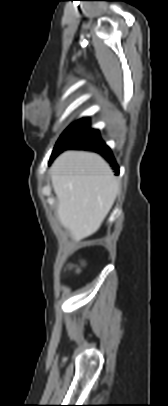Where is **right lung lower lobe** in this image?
I'll use <instances>...</instances> for the list:
<instances>
[{
	"mask_svg": "<svg viewBox=\"0 0 168 406\" xmlns=\"http://www.w3.org/2000/svg\"><path fill=\"white\" fill-rule=\"evenodd\" d=\"M68 149L87 150V151L97 152V153L101 154L103 157H105L106 160H108L111 163V166L114 167V169L116 170L117 173L119 172L118 166L113 158L110 148L107 147L105 145V143L101 140L99 133L91 135L77 143H74V144L66 147L62 151L68 150ZM62 151H60L59 153H61ZM58 154H56L54 157H52L50 159V161H52Z\"/></svg>",
	"mask_w": 168,
	"mask_h": 406,
	"instance_id": "98d812e1",
	"label": "right lung lower lobe"
}]
</instances>
